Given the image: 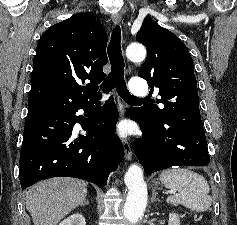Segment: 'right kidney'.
<instances>
[{"mask_svg":"<svg viewBox=\"0 0 237 225\" xmlns=\"http://www.w3.org/2000/svg\"><path fill=\"white\" fill-rule=\"evenodd\" d=\"M59 225H86L85 218L79 214L75 213L68 218L64 219Z\"/></svg>","mask_w":237,"mask_h":225,"instance_id":"1","label":"right kidney"}]
</instances>
